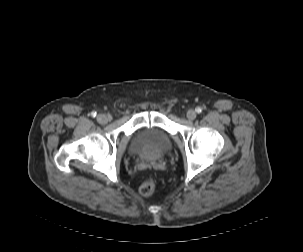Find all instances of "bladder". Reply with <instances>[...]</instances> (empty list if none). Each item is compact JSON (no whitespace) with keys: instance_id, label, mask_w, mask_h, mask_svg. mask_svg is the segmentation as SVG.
<instances>
[{"instance_id":"obj_1","label":"bladder","mask_w":303,"mask_h":252,"mask_svg":"<svg viewBox=\"0 0 303 252\" xmlns=\"http://www.w3.org/2000/svg\"><path fill=\"white\" fill-rule=\"evenodd\" d=\"M172 147L169 134L161 128L141 130L128 146V153L140 158H154L167 153Z\"/></svg>"}]
</instances>
